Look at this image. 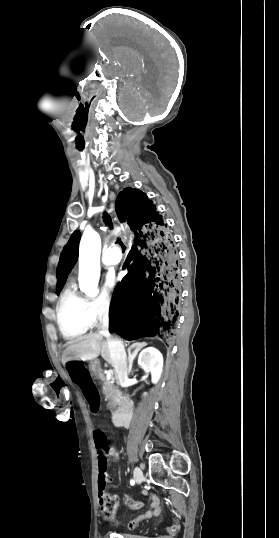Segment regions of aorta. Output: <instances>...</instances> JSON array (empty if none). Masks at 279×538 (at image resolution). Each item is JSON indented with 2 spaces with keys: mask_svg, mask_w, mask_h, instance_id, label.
<instances>
[{
  "mask_svg": "<svg viewBox=\"0 0 279 538\" xmlns=\"http://www.w3.org/2000/svg\"><path fill=\"white\" fill-rule=\"evenodd\" d=\"M101 238L94 230L83 233L79 245V288L88 297L98 295Z\"/></svg>",
  "mask_w": 279,
  "mask_h": 538,
  "instance_id": "aorta-1",
  "label": "aorta"
}]
</instances>
